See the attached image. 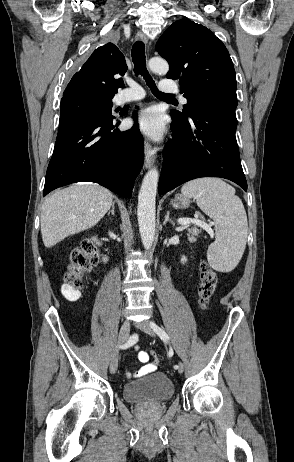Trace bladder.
Masks as SVG:
<instances>
[{
  "mask_svg": "<svg viewBox=\"0 0 294 462\" xmlns=\"http://www.w3.org/2000/svg\"><path fill=\"white\" fill-rule=\"evenodd\" d=\"M175 392L171 379L164 373L155 372L123 387L125 400L134 404L163 403Z\"/></svg>",
  "mask_w": 294,
  "mask_h": 462,
  "instance_id": "bladder-1",
  "label": "bladder"
}]
</instances>
